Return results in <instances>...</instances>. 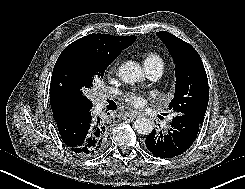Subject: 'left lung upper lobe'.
Masks as SVG:
<instances>
[{"label": "left lung upper lobe", "mask_w": 245, "mask_h": 189, "mask_svg": "<svg viewBox=\"0 0 245 189\" xmlns=\"http://www.w3.org/2000/svg\"><path fill=\"white\" fill-rule=\"evenodd\" d=\"M156 35L168 48L174 62L176 85L169 108L179 115H190L200 123L209 100L208 79L197 51L187 42L165 31Z\"/></svg>", "instance_id": "left-lung-upper-lobe-1"}]
</instances>
